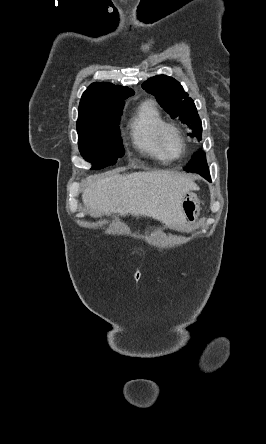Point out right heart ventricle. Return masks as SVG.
I'll list each match as a JSON object with an SVG mask.
<instances>
[{
	"instance_id": "1",
	"label": "right heart ventricle",
	"mask_w": 266,
	"mask_h": 444,
	"mask_svg": "<svg viewBox=\"0 0 266 444\" xmlns=\"http://www.w3.org/2000/svg\"><path fill=\"white\" fill-rule=\"evenodd\" d=\"M164 122L162 114L152 100L143 101L129 122V131L134 146L142 153L156 159H167L157 143V130Z\"/></svg>"
}]
</instances>
